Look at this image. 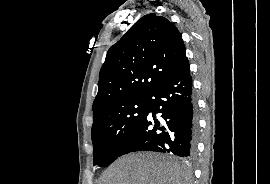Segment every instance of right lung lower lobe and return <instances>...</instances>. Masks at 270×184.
<instances>
[{"instance_id":"1","label":"right lung lower lobe","mask_w":270,"mask_h":184,"mask_svg":"<svg viewBox=\"0 0 270 184\" xmlns=\"http://www.w3.org/2000/svg\"><path fill=\"white\" fill-rule=\"evenodd\" d=\"M150 112L153 119L149 117ZM155 113L161 114V121ZM196 129L192 77L186 58L148 94L147 114L119 156L150 150L192 157L195 152Z\"/></svg>"}]
</instances>
